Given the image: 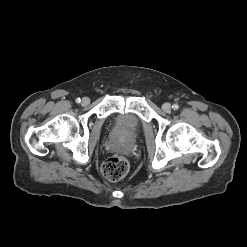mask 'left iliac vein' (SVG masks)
Wrapping results in <instances>:
<instances>
[{
	"mask_svg": "<svg viewBox=\"0 0 247 247\" xmlns=\"http://www.w3.org/2000/svg\"><path fill=\"white\" fill-rule=\"evenodd\" d=\"M162 109H163L164 112L169 113L171 111V109H172V106H171L170 103H164L162 105Z\"/></svg>",
	"mask_w": 247,
	"mask_h": 247,
	"instance_id": "4c4485c4",
	"label": "left iliac vein"
}]
</instances>
